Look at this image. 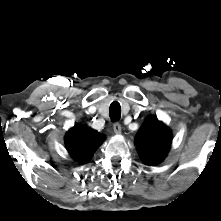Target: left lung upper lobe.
<instances>
[{
    "label": "left lung upper lobe",
    "mask_w": 221,
    "mask_h": 221,
    "mask_svg": "<svg viewBox=\"0 0 221 221\" xmlns=\"http://www.w3.org/2000/svg\"><path fill=\"white\" fill-rule=\"evenodd\" d=\"M171 132L156 117H148L140 127L135 144L142 161L147 165L160 163L171 145Z\"/></svg>",
    "instance_id": "1"
}]
</instances>
